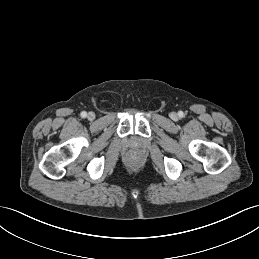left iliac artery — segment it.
<instances>
[{
    "instance_id": "obj_1",
    "label": "left iliac artery",
    "mask_w": 259,
    "mask_h": 259,
    "mask_svg": "<svg viewBox=\"0 0 259 259\" xmlns=\"http://www.w3.org/2000/svg\"><path fill=\"white\" fill-rule=\"evenodd\" d=\"M178 115H179V117H183V112L182 111H179V113H178Z\"/></svg>"
}]
</instances>
